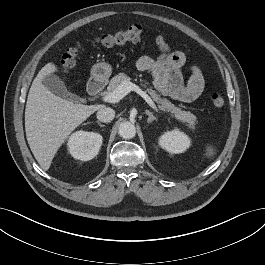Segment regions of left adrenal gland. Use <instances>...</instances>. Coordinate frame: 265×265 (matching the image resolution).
I'll use <instances>...</instances> for the list:
<instances>
[{
    "label": "left adrenal gland",
    "instance_id": "left-adrenal-gland-1",
    "mask_svg": "<svg viewBox=\"0 0 265 265\" xmlns=\"http://www.w3.org/2000/svg\"><path fill=\"white\" fill-rule=\"evenodd\" d=\"M145 113L149 116L147 119L148 123H152L154 120H157V118L149 110H146Z\"/></svg>",
    "mask_w": 265,
    "mask_h": 265
}]
</instances>
